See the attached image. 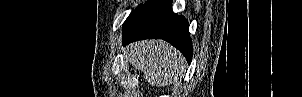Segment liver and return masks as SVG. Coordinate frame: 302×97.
Instances as JSON below:
<instances>
[{"label":"liver","instance_id":"6515ba94","mask_svg":"<svg viewBox=\"0 0 302 97\" xmlns=\"http://www.w3.org/2000/svg\"><path fill=\"white\" fill-rule=\"evenodd\" d=\"M126 59L135 70L144 73L148 84L164 87L183 75L185 58L178 50L162 40H144L130 44Z\"/></svg>","mask_w":302,"mask_h":97}]
</instances>
